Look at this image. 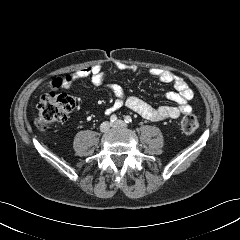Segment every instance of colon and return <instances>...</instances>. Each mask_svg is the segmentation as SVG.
<instances>
[{"label":"colon","instance_id":"colon-1","mask_svg":"<svg viewBox=\"0 0 240 240\" xmlns=\"http://www.w3.org/2000/svg\"><path fill=\"white\" fill-rule=\"evenodd\" d=\"M74 78L71 75L55 78L52 83V92L43 95L37 104L36 127L45 130L55 123L64 122L74 108V100L68 94L60 92L73 86ZM181 129L187 134L194 133L198 127V119L192 115H185L181 120Z\"/></svg>","mask_w":240,"mask_h":240}]
</instances>
